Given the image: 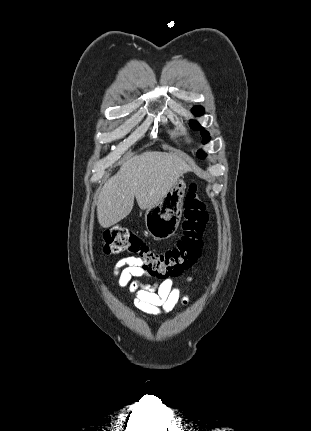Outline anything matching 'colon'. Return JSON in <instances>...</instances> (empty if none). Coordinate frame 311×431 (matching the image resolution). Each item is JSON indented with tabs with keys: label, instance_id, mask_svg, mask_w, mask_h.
I'll return each mask as SVG.
<instances>
[{
	"label": "colon",
	"instance_id": "5ec220e1",
	"mask_svg": "<svg viewBox=\"0 0 311 431\" xmlns=\"http://www.w3.org/2000/svg\"><path fill=\"white\" fill-rule=\"evenodd\" d=\"M207 219L206 205L199 194L198 185L192 182L184 200L182 233L172 248L163 251L154 250L136 233L122 227H115L104 233L103 251L105 254H135L150 276L160 279L177 277L199 258Z\"/></svg>",
	"mask_w": 311,
	"mask_h": 431
}]
</instances>
